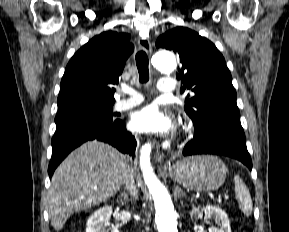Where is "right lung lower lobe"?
<instances>
[{"mask_svg": "<svg viewBox=\"0 0 289 232\" xmlns=\"http://www.w3.org/2000/svg\"><path fill=\"white\" fill-rule=\"evenodd\" d=\"M99 140L111 144L124 154L134 156L135 137L126 130L121 120L113 123L78 122L56 127L52 138V158L48 167L51 177L60 162L76 147L88 140Z\"/></svg>", "mask_w": 289, "mask_h": 232, "instance_id": "98d812e1", "label": "right lung lower lobe"}]
</instances>
